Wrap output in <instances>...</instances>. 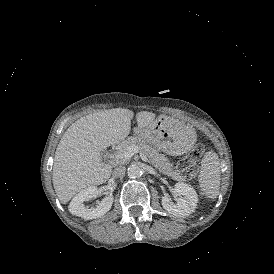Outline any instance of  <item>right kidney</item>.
I'll return each instance as SVG.
<instances>
[{"label": "right kidney", "mask_w": 274, "mask_h": 274, "mask_svg": "<svg viewBox=\"0 0 274 274\" xmlns=\"http://www.w3.org/2000/svg\"><path fill=\"white\" fill-rule=\"evenodd\" d=\"M97 187L89 186L82 189L70 202L68 209L71 214L79 216L85 220L95 219L106 214L113 204V197L107 196L97 203L96 208H89L84 205L85 201L97 195Z\"/></svg>", "instance_id": "ca27d5eb"}]
</instances>
